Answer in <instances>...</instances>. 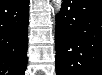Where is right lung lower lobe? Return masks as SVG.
<instances>
[{
	"label": "right lung lower lobe",
	"mask_w": 102,
	"mask_h": 75,
	"mask_svg": "<svg viewBox=\"0 0 102 75\" xmlns=\"http://www.w3.org/2000/svg\"><path fill=\"white\" fill-rule=\"evenodd\" d=\"M29 0H3L0 4V71L24 75L27 66Z\"/></svg>",
	"instance_id": "right-lung-lower-lobe-1"
}]
</instances>
